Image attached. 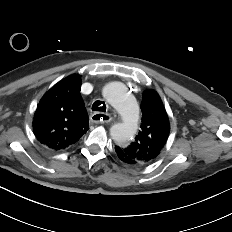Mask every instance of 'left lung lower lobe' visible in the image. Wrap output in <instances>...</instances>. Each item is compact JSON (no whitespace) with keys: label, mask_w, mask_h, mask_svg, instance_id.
Wrapping results in <instances>:
<instances>
[{"label":"left lung lower lobe","mask_w":232,"mask_h":232,"mask_svg":"<svg viewBox=\"0 0 232 232\" xmlns=\"http://www.w3.org/2000/svg\"><path fill=\"white\" fill-rule=\"evenodd\" d=\"M115 151H116V154L118 156V158L126 163V164H129V165H132L133 161L131 158H129L127 155H125L123 152L119 151L118 149L115 148Z\"/></svg>","instance_id":"obj_1"}]
</instances>
